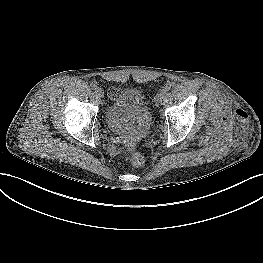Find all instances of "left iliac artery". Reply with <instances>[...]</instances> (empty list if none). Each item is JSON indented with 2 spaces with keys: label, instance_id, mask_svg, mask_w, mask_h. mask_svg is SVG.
Wrapping results in <instances>:
<instances>
[{
  "label": "left iliac artery",
  "instance_id": "obj_1",
  "mask_svg": "<svg viewBox=\"0 0 263 263\" xmlns=\"http://www.w3.org/2000/svg\"><path fill=\"white\" fill-rule=\"evenodd\" d=\"M159 95H160L161 97L166 96V95H167V90H161V91L159 92Z\"/></svg>",
  "mask_w": 263,
  "mask_h": 263
}]
</instances>
